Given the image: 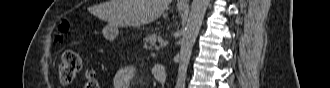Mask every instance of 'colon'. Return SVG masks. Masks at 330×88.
I'll list each match as a JSON object with an SVG mask.
<instances>
[{
    "mask_svg": "<svg viewBox=\"0 0 330 88\" xmlns=\"http://www.w3.org/2000/svg\"><path fill=\"white\" fill-rule=\"evenodd\" d=\"M69 22L62 21L59 25V35L56 37L58 41L62 40V35L69 30ZM86 61L83 56L75 50H67L62 55L60 64V80L65 86H69L74 83L79 72L85 66ZM86 88H97V84L94 80L93 70L88 67L85 72Z\"/></svg>",
    "mask_w": 330,
    "mask_h": 88,
    "instance_id": "5ec220e1",
    "label": "colon"
}]
</instances>
